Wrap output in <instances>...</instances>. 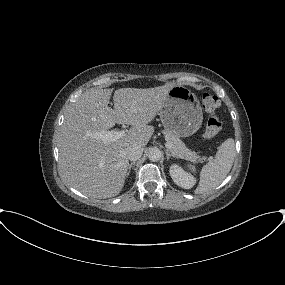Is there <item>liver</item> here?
<instances>
[{"instance_id":"6515ba94","label":"liver","mask_w":285,"mask_h":285,"mask_svg":"<svg viewBox=\"0 0 285 285\" xmlns=\"http://www.w3.org/2000/svg\"><path fill=\"white\" fill-rule=\"evenodd\" d=\"M174 83L154 88H121L108 106L112 89H90L70 107L59 136L60 171L70 186L91 198H110L122 190L128 150L145 147L154 127L148 125L163 106ZM131 125L126 136L103 142L92 136L115 124Z\"/></svg>"}]
</instances>
